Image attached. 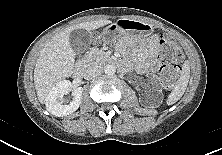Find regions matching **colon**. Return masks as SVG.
<instances>
[{
    "label": "colon",
    "instance_id": "5ec220e1",
    "mask_svg": "<svg viewBox=\"0 0 222 155\" xmlns=\"http://www.w3.org/2000/svg\"><path fill=\"white\" fill-rule=\"evenodd\" d=\"M160 45L162 47V56L167 60H177L181 56L179 48L169 35L160 37ZM180 67L175 64H164L160 71V78L167 88H172L177 83L180 75Z\"/></svg>",
    "mask_w": 222,
    "mask_h": 155
}]
</instances>
